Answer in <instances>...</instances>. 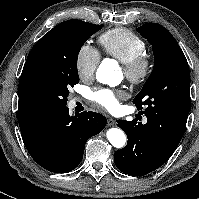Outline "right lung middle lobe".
<instances>
[{"mask_svg":"<svg viewBox=\"0 0 199 199\" xmlns=\"http://www.w3.org/2000/svg\"><path fill=\"white\" fill-rule=\"evenodd\" d=\"M102 27L75 19L46 33L27 57L19 81V99L46 115L66 107L70 87L79 83V51Z\"/></svg>","mask_w":199,"mask_h":199,"instance_id":"obj_1","label":"right lung middle lobe"}]
</instances>
